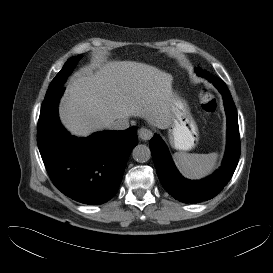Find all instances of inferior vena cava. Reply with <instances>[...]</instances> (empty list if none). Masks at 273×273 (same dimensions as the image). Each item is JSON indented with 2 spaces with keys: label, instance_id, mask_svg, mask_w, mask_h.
<instances>
[{
  "label": "inferior vena cava",
  "instance_id": "602c4592",
  "mask_svg": "<svg viewBox=\"0 0 273 273\" xmlns=\"http://www.w3.org/2000/svg\"><path fill=\"white\" fill-rule=\"evenodd\" d=\"M129 128V121L127 119H117L109 124L111 130H124Z\"/></svg>",
  "mask_w": 273,
  "mask_h": 273
}]
</instances>
